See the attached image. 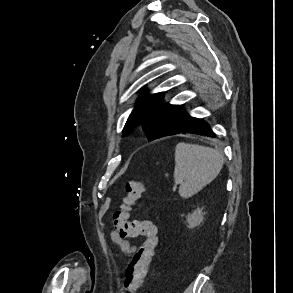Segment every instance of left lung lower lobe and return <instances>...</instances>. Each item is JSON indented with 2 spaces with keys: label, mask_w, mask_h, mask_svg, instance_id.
Returning <instances> with one entry per match:
<instances>
[{
  "label": "left lung lower lobe",
  "mask_w": 293,
  "mask_h": 293,
  "mask_svg": "<svg viewBox=\"0 0 293 293\" xmlns=\"http://www.w3.org/2000/svg\"><path fill=\"white\" fill-rule=\"evenodd\" d=\"M178 133H195L215 137V134L211 130L208 123L202 119L191 117L186 113H184L183 117L175 126V128L172 129L167 135H174Z\"/></svg>",
  "instance_id": "0a47b994"
}]
</instances>
